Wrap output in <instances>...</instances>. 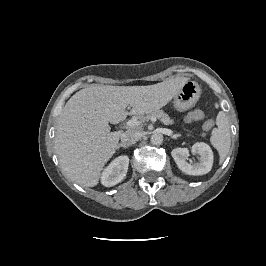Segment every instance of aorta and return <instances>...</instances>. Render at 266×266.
Wrapping results in <instances>:
<instances>
[{"mask_svg": "<svg viewBox=\"0 0 266 266\" xmlns=\"http://www.w3.org/2000/svg\"><path fill=\"white\" fill-rule=\"evenodd\" d=\"M150 141L153 145H161L163 142V135L161 133H154L151 135Z\"/></svg>", "mask_w": 266, "mask_h": 266, "instance_id": "762f6f07", "label": "aorta"}]
</instances>
